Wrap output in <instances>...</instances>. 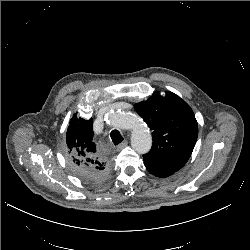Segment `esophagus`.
I'll use <instances>...</instances> for the list:
<instances>
[{"instance_id": "obj_1", "label": "esophagus", "mask_w": 250, "mask_h": 250, "mask_svg": "<svg viewBox=\"0 0 250 250\" xmlns=\"http://www.w3.org/2000/svg\"><path fill=\"white\" fill-rule=\"evenodd\" d=\"M126 146H127V141L125 140L117 146V150H121Z\"/></svg>"}]
</instances>
